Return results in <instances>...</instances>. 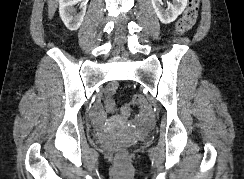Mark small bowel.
<instances>
[{
	"mask_svg": "<svg viewBox=\"0 0 244 179\" xmlns=\"http://www.w3.org/2000/svg\"><path fill=\"white\" fill-rule=\"evenodd\" d=\"M151 114V111L144 108L140 114V117H139V122H138V125L139 126H148L150 121L152 120V117L149 116Z\"/></svg>",
	"mask_w": 244,
	"mask_h": 179,
	"instance_id": "c3829d8e",
	"label": "small bowel"
}]
</instances>
